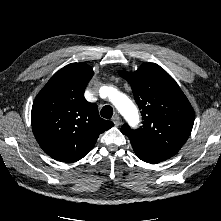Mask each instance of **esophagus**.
Returning <instances> with one entry per match:
<instances>
[{"label": "esophagus", "mask_w": 221, "mask_h": 221, "mask_svg": "<svg viewBox=\"0 0 221 221\" xmlns=\"http://www.w3.org/2000/svg\"><path fill=\"white\" fill-rule=\"evenodd\" d=\"M112 121L114 123L115 126H119L121 124V119L118 115H115L113 118H112Z\"/></svg>", "instance_id": "1"}]
</instances>
